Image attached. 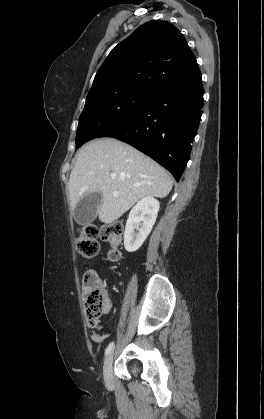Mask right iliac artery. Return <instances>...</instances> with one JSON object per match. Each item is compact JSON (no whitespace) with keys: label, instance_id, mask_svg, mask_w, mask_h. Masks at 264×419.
<instances>
[{"label":"right iliac artery","instance_id":"82829eb1","mask_svg":"<svg viewBox=\"0 0 264 419\" xmlns=\"http://www.w3.org/2000/svg\"><path fill=\"white\" fill-rule=\"evenodd\" d=\"M113 347H114V342H111L105 350V355H108L112 351Z\"/></svg>","mask_w":264,"mask_h":419}]
</instances>
